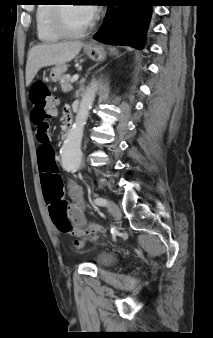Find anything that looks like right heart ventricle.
I'll use <instances>...</instances> for the list:
<instances>
[{"instance_id": "right-heart-ventricle-1", "label": "right heart ventricle", "mask_w": 213, "mask_h": 338, "mask_svg": "<svg viewBox=\"0 0 213 338\" xmlns=\"http://www.w3.org/2000/svg\"><path fill=\"white\" fill-rule=\"evenodd\" d=\"M38 4H50V2L41 1ZM52 5H37L36 9V33L42 42L54 43L61 37L54 32L51 27Z\"/></svg>"}]
</instances>
